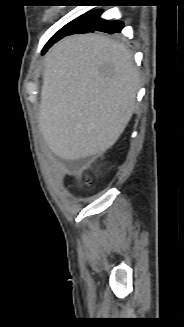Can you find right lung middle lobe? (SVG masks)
Wrapping results in <instances>:
<instances>
[{"label":"right lung middle lobe","mask_w":184,"mask_h":327,"mask_svg":"<svg viewBox=\"0 0 184 327\" xmlns=\"http://www.w3.org/2000/svg\"><path fill=\"white\" fill-rule=\"evenodd\" d=\"M85 14L79 16L78 18L74 19L73 21L66 24L63 28H61L45 45L42 54L47 51V49L52 46L55 42L60 40L66 33L71 31L84 17Z\"/></svg>","instance_id":"obj_1"}]
</instances>
